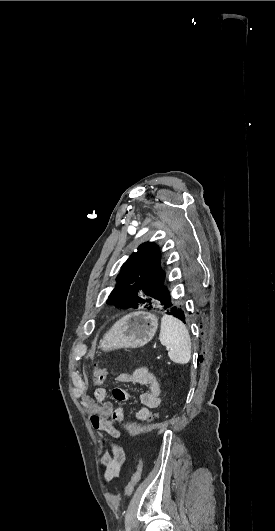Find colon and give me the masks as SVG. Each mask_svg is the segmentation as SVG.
<instances>
[{"mask_svg":"<svg viewBox=\"0 0 275 531\" xmlns=\"http://www.w3.org/2000/svg\"><path fill=\"white\" fill-rule=\"evenodd\" d=\"M106 379H107V370H106V368L104 366L96 365L95 366V370H94V379H93L94 386L95 387L103 386L105 384V382H106ZM161 415H162L161 408H158V409L154 410L153 412H151L150 415H149V418L147 420V423L145 424V427L147 429H150L153 425H155L156 421L159 420ZM142 471H143V459H142L141 453H139L138 456H137V463H136L135 472L133 473L130 481L125 486V488H124V490H123V492L121 494L122 496H124V497L129 496L133 492V490L135 489L136 485L141 480Z\"/></svg>","mask_w":275,"mask_h":531,"instance_id":"1","label":"colon"}]
</instances>
